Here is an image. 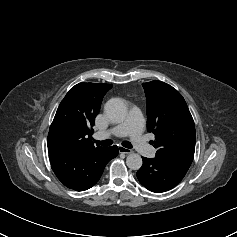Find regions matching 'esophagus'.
Instances as JSON below:
<instances>
[{
	"instance_id": "esophagus-1",
	"label": "esophagus",
	"mask_w": 237,
	"mask_h": 237,
	"mask_svg": "<svg viewBox=\"0 0 237 237\" xmlns=\"http://www.w3.org/2000/svg\"><path fill=\"white\" fill-rule=\"evenodd\" d=\"M119 152L120 153H124V154H131L133 153V151L131 149L119 146Z\"/></svg>"
}]
</instances>
